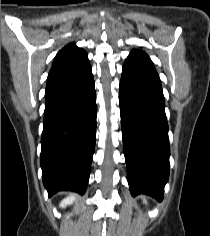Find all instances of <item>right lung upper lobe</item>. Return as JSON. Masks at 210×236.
Returning <instances> with one entry per match:
<instances>
[{"instance_id": "right-lung-upper-lobe-1", "label": "right lung upper lobe", "mask_w": 210, "mask_h": 236, "mask_svg": "<svg viewBox=\"0 0 210 236\" xmlns=\"http://www.w3.org/2000/svg\"><path fill=\"white\" fill-rule=\"evenodd\" d=\"M89 63L87 53L74 43L66 45L54 58L48 79L68 73Z\"/></svg>"}]
</instances>
